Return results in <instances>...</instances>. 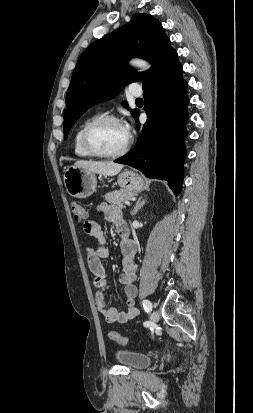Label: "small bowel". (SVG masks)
Returning <instances> with one entry per match:
<instances>
[{
	"label": "small bowel",
	"mask_w": 253,
	"mask_h": 413,
	"mask_svg": "<svg viewBox=\"0 0 253 413\" xmlns=\"http://www.w3.org/2000/svg\"><path fill=\"white\" fill-rule=\"evenodd\" d=\"M96 211L103 215L105 220L114 224L121 236L122 272L119 275V282L124 288L126 308L122 310L106 306V291L109 285L106 270L101 260L109 256L110 249L100 225L96 221L85 220L83 223L84 232L94 237L97 243L96 247L88 245L85 249L87 265L93 274V283L98 288L95 293L96 307L108 323H125L138 314V309L135 307V298L138 292L135 285L137 277V264L134 261L136 247L134 242L129 239L127 224L118 207L102 202L97 205Z\"/></svg>",
	"instance_id": "c3829d8e"
}]
</instances>
